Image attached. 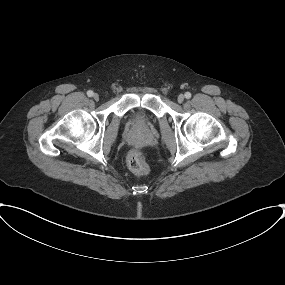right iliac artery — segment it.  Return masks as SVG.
Segmentation results:
<instances>
[{"label": "right iliac artery", "mask_w": 285, "mask_h": 285, "mask_svg": "<svg viewBox=\"0 0 285 285\" xmlns=\"http://www.w3.org/2000/svg\"><path fill=\"white\" fill-rule=\"evenodd\" d=\"M93 91H91V90H89L88 92H87V95L89 96V97H92L93 96Z\"/></svg>", "instance_id": "obj_1"}]
</instances>
